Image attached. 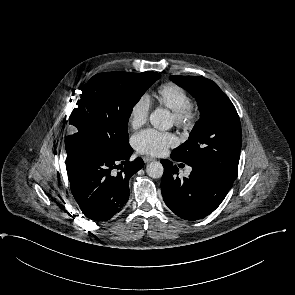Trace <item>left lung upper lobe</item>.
Masks as SVG:
<instances>
[{
    "instance_id": "left-lung-upper-lobe-1",
    "label": "left lung upper lobe",
    "mask_w": 295,
    "mask_h": 295,
    "mask_svg": "<svg viewBox=\"0 0 295 295\" xmlns=\"http://www.w3.org/2000/svg\"><path fill=\"white\" fill-rule=\"evenodd\" d=\"M170 80L195 97L200 119L189 139L173 154L190 166L207 167L229 184L237 177L241 151V125L237 111L213 81L196 76H170Z\"/></svg>"
}]
</instances>
